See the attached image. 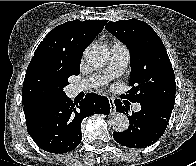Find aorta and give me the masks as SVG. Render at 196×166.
Masks as SVG:
<instances>
[{
    "label": "aorta",
    "mask_w": 196,
    "mask_h": 166,
    "mask_svg": "<svg viewBox=\"0 0 196 166\" xmlns=\"http://www.w3.org/2000/svg\"><path fill=\"white\" fill-rule=\"evenodd\" d=\"M84 55L87 63L93 67H103L110 60L108 48L100 44L89 46ZM110 122L116 132H123L129 126V120L124 113H115Z\"/></svg>",
    "instance_id": "1"
}]
</instances>
